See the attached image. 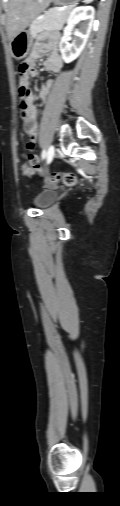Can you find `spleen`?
Wrapping results in <instances>:
<instances>
[{"instance_id": "spleen-1", "label": "spleen", "mask_w": 120, "mask_h": 506, "mask_svg": "<svg viewBox=\"0 0 120 506\" xmlns=\"http://www.w3.org/2000/svg\"><path fill=\"white\" fill-rule=\"evenodd\" d=\"M93 0H84L85 3H91Z\"/></svg>"}]
</instances>
